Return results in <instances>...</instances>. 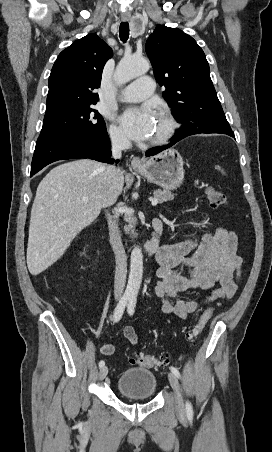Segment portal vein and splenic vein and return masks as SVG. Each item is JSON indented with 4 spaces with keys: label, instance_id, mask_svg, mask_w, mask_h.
<instances>
[{
    "label": "portal vein and splenic vein",
    "instance_id": "1",
    "mask_svg": "<svg viewBox=\"0 0 272 452\" xmlns=\"http://www.w3.org/2000/svg\"><path fill=\"white\" fill-rule=\"evenodd\" d=\"M84 201H86V199H83ZM158 203V200L156 198L151 199V204L152 206H156ZM116 212L119 213H125L126 215H131L134 213V210L132 208L129 207H118L117 209H115Z\"/></svg>",
    "mask_w": 272,
    "mask_h": 452
}]
</instances>
